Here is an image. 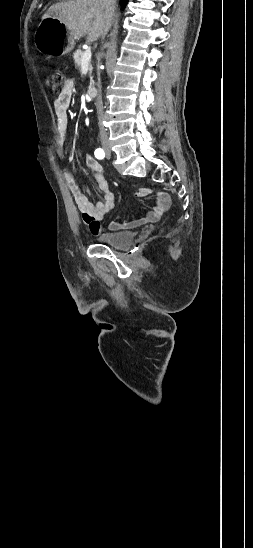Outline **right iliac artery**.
I'll list each match as a JSON object with an SVG mask.
<instances>
[{
    "instance_id": "obj_1",
    "label": "right iliac artery",
    "mask_w": 253,
    "mask_h": 548,
    "mask_svg": "<svg viewBox=\"0 0 253 548\" xmlns=\"http://www.w3.org/2000/svg\"><path fill=\"white\" fill-rule=\"evenodd\" d=\"M94 154L97 159H103L105 157V152L101 148L96 149Z\"/></svg>"
}]
</instances>
